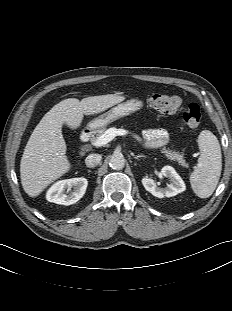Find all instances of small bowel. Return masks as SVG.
I'll list each match as a JSON object with an SVG mask.
<instances>
[{
  "label": "small bowel",
  "instance_id": "small-bowel-1",
  "mask_svg": "<svg viewBox=\"0 0 232 311\" xmlns=\"http://www.w3.org/2000/svg\"><path fill=\"white\" fill-rule=\"evenodd\" d=\"M146 146L157 148L164 145L168 139V133L161 128L147 129L143 133Z\"/></svg>",
  "mask_w": 232,
  "mask_h": 311
}]
</instances>
